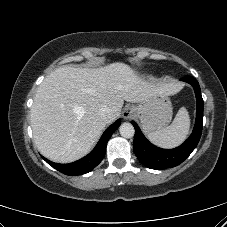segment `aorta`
<instances>
[{
  "label": "aorta",
  "mask_w": 227,
  "mask_h": 227,
  "mask_svg": "<svg viewBox=\"0 0 227 227\" xmlns=\"http://www.w3.org/2000/svg\"><path fill=\"white\" fill-rule=\"evenodd\" d=\"M119 132L124 138H132L134 136L135 130L131 123H122L119 127Z\"/></svg>",
  "instance_id": "762f6f07"
}]
</instances>
